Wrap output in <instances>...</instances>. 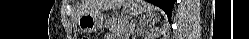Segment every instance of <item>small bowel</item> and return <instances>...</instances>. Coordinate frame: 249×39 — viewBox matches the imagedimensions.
<instances>
[{
    "label": "small bowel",
    "instance_id": "c3829d8e",
    "mask_svg": "<svg viewBox=\"0 0 249 39\" xmlns=\"http://www.w3.org/2000/svg\"><path fill=\"white\" fill-rule=\"evenodd\" d=\"M105 39H113V37H112V35H107L106 37H105Z\"/></svg>",
    "mask_w": 249,
    "mask_h": 39
}]
</instances>
